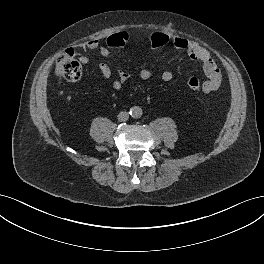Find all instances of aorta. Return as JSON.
<instances>
[{
	"mask_svg": "<svg viewBox=\"0 0 264 264\" xmlns=\"http://www.w3.org/2000/svg\"><path fill=\"white\" fill-rule=\"evenodd\" d=\"M142 109L139 106H134L130 109V115L133 118H140L142 116Z\"/></svg>",
	"mask_w": 264,
	"mask_h": 264,
	"instance_id": "1",
	"label": "aorta"
}]
</instances>
